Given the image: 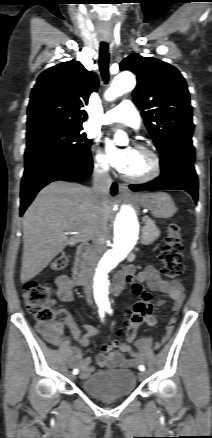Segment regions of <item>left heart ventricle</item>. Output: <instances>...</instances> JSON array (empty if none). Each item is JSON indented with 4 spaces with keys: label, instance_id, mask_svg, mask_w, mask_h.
<instances>
[{
    "label": "left heart ventricle",
    "instance_id": "b2bd125f",
    "mask_svg": "<svg viewBox=\"0 0 212 438\" xmlns=\"http://www.w3.org/2000/svg\"><path fill=\"white\" fill-rule=\"evenodd\" d=\"M151 167L152 163L150 157L144 152L135 150L124 173L133 177H141L149 173Z\"/></svg>",
    "mask_w": 212,
    "mask_h": 438
}]
</instances>
